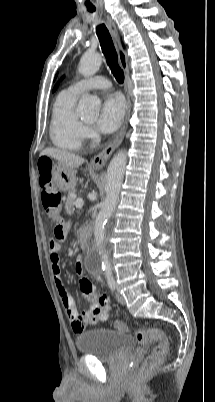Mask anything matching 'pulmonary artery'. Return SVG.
I'll list each match as a JSON object with an SVG mask.
<instances>
[{"label":"pulmonary artery","instance_id":"pulmonary-artery-1","mask_svg":"<svg viewBox=\"0 0 215 402\" xmlns=\"http://www.w3.org/2000/svg\"><path fill=\"white\" fill-rule=\"evenodd\" d=\"M111 86L108 79L103 76H94L87 79H82L72 84L69 89L76 94H81L90 89H107Z\"/></svg>","mask_w":215,"mask_h":402}]
</instances>
